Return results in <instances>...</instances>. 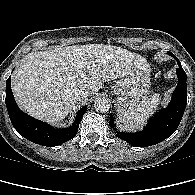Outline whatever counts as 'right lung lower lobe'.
<instances>
[{
    "label": "right lung lower lobe",
    "instance_id": "98d812e1",
    "mask_svg": "<svg viewBox=\"0 0 195 195\" xmlns=\"http://www.w3.org/2000/svg\"><path fill=\"white\" fill-rule=\"evenodd\" d=\"M5 101L10 120L17 132L31 142L48 147H54L72 139L78 131L83 114L86 112V106L82 107L73 125L63 129L53 128L45 122L30 117L22 112L15 102L11 90V76L6 81Z\"/></svg>",
    "mask_w": 195,
    "mask_h": 195
}]
</instances>
